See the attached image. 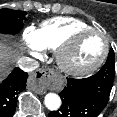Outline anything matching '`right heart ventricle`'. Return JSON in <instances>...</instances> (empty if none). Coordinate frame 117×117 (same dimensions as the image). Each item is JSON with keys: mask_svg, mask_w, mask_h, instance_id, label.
I'll return each mask as SVG.
<instances>
[{"mask_svg": "<svg viewBox=\"0 0 117 117\" xmlns=\"http://www.w3.org/2000/svg\"><path fill=\"white\" fill-rule=\"evenodd\" d=\"M92 28L73 17H56L44 21L37 31V39L43 49L57 50L74 32Z\"/></svg>", "mask_w": 117, "mask_h": 117, "instance_id": "e07e8e85", "label": "right heart ventricle"}]
</instances>
